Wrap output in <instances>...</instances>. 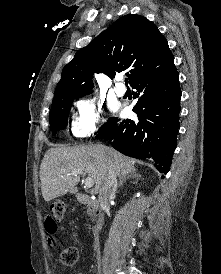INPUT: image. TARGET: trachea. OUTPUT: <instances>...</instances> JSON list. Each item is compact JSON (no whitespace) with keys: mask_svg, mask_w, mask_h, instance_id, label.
Masks as SVG:
<instances>
[{"mask_svg":"<svg viewBox=\"0 0 221 274\" xmlns=\"http://www.w3.org/2000/svg\"><path fill=\"white\" fill-rule=\"evenodd\" d=\"M125 84L128 85V79L127 78L125 79Z\"/></svg>","mask_w":221,"mask_h":274,"instance_id":"obj_1","label":"trachea"}]
</instances>
